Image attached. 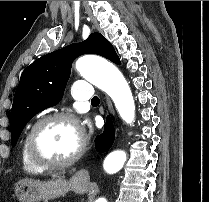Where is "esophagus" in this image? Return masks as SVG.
Returning <instances> with one entry per match:
<instances>
[{
    "label": "esophagus",
    "instance_id": "34e87169",
    "mask_svg": "<svg viewBox=\"0 0 209 202\" xmlns=\"http://www.w3.org/2000/svg\"><path fill=\"white\" fill-rule=\"evenodd\" d=\"M106 102H107V107H108L110 115L114 116V110H113V107H112V103L110 102V100L108 98L106 99ZM77 176L79 178H82V179H85V180H89L90 179L89 171L87 169H85V168L80 169L77 172Z\"/></svg>",
    "mask_w": 209,
    "mask_h": 202
}]
</instances>
